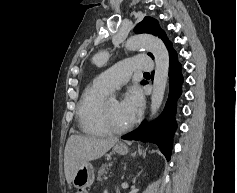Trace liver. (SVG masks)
Returning a JSON list of instances; mask_svg holds the SVG:
<instances>
[{
    "label": "liver",
    "instance_id": "1",
    "mask_svg": "<svg viewBox=\"0 0 237 193\" xmlns=\"http://www.w3.org/2000/svg\"><path fill=\"white\" fill-rule=\"evenodd\" d=\"M117 142V138L71 135L64 151V172L67 183L71 184L77 169L82 164L101 158Z\"/></svg>",
    "mask_w": 237,
    "mask_h": 193
}]
</instances>
